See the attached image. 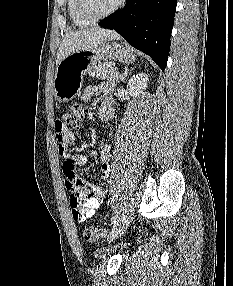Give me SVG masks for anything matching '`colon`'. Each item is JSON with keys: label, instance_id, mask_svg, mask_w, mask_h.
Returning a JSON list of instances; mask_svg holds the SVG:
<instances>
[{"label": "colon", "instance_id": "obj_1", "mask_svg": "<svg viewBox=\"0 0 233 286\" xmlns=\"http://www.w3.org/2000/svg\"><path fill=\"white\" fill-rule=\"evenodd\" d=\"M84 110L81 105L74 104L63 111V120L74 129H79L82 125ZM70 202L74 207L81 205L79 198L72 193ZM106 230L101 226L87 227L83 230V237L87 242H95L104 236Z\"/></svg>", "mask_w": 233, "mask_h": 286}]
</instances>
